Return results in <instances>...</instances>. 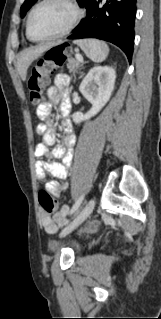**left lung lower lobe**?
<instances>
[{"label": "left lung lower lobe", "mask_w": 161, "mask_h": 319, "mask_svg": "<svg viewBox=\"0 0 161 319\" xmlns=\"http://www.w3.org/2000/svg\"><path fill=\"white\" fill-rule=\"evenodd\" d=\"M137 0H89L87 16L68 39L97 38L117 45L131 62Z\"/></svg>", "instance_id": "left-lung-lower-lobe-1"}]
</instances>
